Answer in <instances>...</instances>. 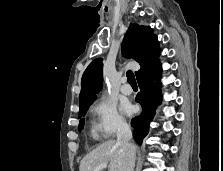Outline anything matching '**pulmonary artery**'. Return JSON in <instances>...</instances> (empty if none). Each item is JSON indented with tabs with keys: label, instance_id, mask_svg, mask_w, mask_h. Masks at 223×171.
Here are the masks:
<instances>
[{
	"label": "pulmonary artery",
	"instance_id": "pulmonary-artery-1",
	"mask_svg": "<svg viewBox=\"0 0 223 171\" xmlns=\"http://www.w3.org/2000/svg\"><path fill=\"white\" fill-rule=\"evenodd\" d=\"M120 91L124 95H130L132 93V88L131 86L126 82V79H122V86L120 88Z\"/></svg>",
	"mask_w": 223,
	"mask_h": 171
}]
</instances>
